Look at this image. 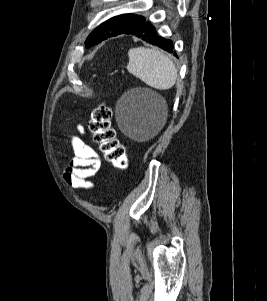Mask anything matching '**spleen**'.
<instances>
[{
	"instance_id": "spleen-1",
	"label": "spleen",
	"mask_w": 267,
	"mask_h": 301,
	"mask_svg": "<svg viewBox=\"0 0 267 301\" xmlns=\"http://www.w3.org/2000/svg\"><path fill=\"white\" fill-rule=\"evenodd\" d=\"M127 70L145 84L158 90L174 86L177 69L169 57L157 49L132 48L128 52Z\"/></svg>"
}]
</instances>
